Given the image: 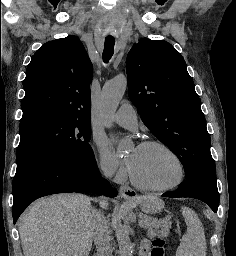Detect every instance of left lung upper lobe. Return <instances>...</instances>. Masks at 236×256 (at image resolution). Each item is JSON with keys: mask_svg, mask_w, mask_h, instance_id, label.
Masks as SVG:
<instances>
[{"mask_svg": "<svg viewBox=\"0 0 236 256\" xmlns=\"http://www.w3.org/2000/svg\"><path fill=\"white\" fill-rule=\"evenodd\" d=\"M126 71L142 121L177 155L186 180L216 179L206 120L183 57L164 40L143 38L128 53Z\"/></svg>", "mask_w": 236, "mask_h": 256, "instance_id": "obj_1", "label": "left lung upper lobe"}]
</instances>
